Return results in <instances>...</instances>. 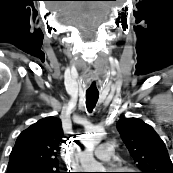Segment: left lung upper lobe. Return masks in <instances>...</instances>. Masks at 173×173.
<instances>
[{"instance_id": "left-lung-upper-lobe-1", "label": "left lung upper lobe", "mask_w": 173, "mask_h": 173, "mask_svg": "<svg viewBox=\"0 0 173 173\" xmlns=\"http://www.w3.org/2000/svg\"><path fill=\"white\" fill-rule=\"evenodd\" d=\"M117 130L140 173H173L166 146L150 125L138 118H124L118 121Z\"/></svg>"}]
</instances>
